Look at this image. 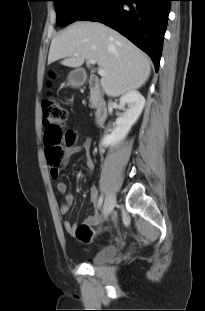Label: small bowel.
Segmentation results:
<instances>
[{
    "label": "small bowel",
    "instance_id": "small-bowel-1",
    "mask_svg": "<svg viewBox=\"0 0 205 311\" xmlns=\"http://www.w3.org/2000/svg\"><path fill=\"white\" fill-rule=\"evenodd\" d=\"M90 148H91V140L90 138L86 137L81 144L75 145L74 147L67 149L66 159L80 152H84L87 156L86 171L88 172V174H91L94 169V161L90 155ZM50 173L54 179L58 178V171L56 169H51ZM56 189L64 198V202L61 204L60 211L62 214H65L68 212L69 207L74 202V195L68 191L67 185L63 181L56 182ZM97 197H98L97 189L96 187L92 186L90 188V199L94 203V205L98 207ZM98 218L99 216L97 212H95L94 214L88 216L84 223L87 225H95L98 222ZM63 225L65 230L70 234H73L75 229L77 228V225L71 223L70 221H64Z\"/></svg>",
    "mask_w": 205,
    "mask_h": 311
}]
</instances>
